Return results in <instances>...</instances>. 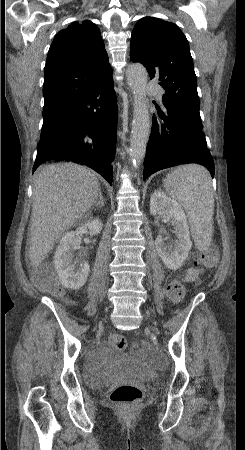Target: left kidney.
I'll list each match as a JSON object with an SVG mask.
<instances>
[{"mask_svg": "<svg viewBox=\"0 0 245 450\" xmlns=\"http://www.w3.org/2000/svg\"><path fill=\"white\" fill-rule=\"evenodd\" d=\"M150 214L165 215L168 222L173 226L177 240L173 246L166 245L162 236L155 240L158 255L167 268L179 269L184 260L188 257L192 247L189 227L182 207L172 198L166 196L161 190L155 191L150 199Z\"/></svg>", "mask_w": 245, "mask_h": 450, "instance_id": "obj_1", "label": "left kidney"}]
</instances>
